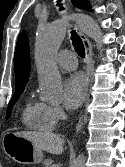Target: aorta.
I'll return each instance as SVG.
<instances>
[{
    "mask_svg": "<svg viewBox=\"0 0 125 167\" xmlns=\"http://www.w3.org/2000/svg\"><path fill=\"white\" fill-rule=\"evenodd\" d=\"M81 30L102 47V32L97 23L88 15L74 16ZM66 35L65 20H57L39 31L35 43L37 71L40 78L41 99L57 103L62 98V81L55 62V55ZM72 167H85V157L79 154Z\"/></svg>",
    "mask_w": 125,
    "mask_h": 167,
    "instance_id": "aorta-1",
    "label": "aorta"
}]
</instances>
